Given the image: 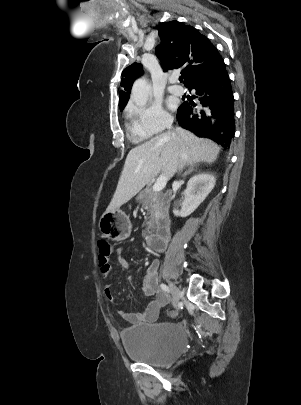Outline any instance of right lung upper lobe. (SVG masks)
Returning <instances> with one entry per match:
<instances>
[{
  "label": "right lung upper lobe",
  "instance_id": "right-lung-upper-lobe-1",
  "mask_svg": "<svg viewBox=\"0 0 301 405\" xmlns=\"http://www.w3.org/2000/svg\"><path fill=\"white\" fill-rule=\"evenodd\" d=\"M158 34L161 43L156 47V55L162 62L163 70L182 68L186 87L212 73L223 61L209 39L192 26L178 21L166 22L159 28ZM142 73V65L139 63L124 69L121 86L125 91H120V110L124 109L129 99L134 80Z\"/></svg>",
  "mask_w": 301,
  "mask_h": 405
}]
</instances>
